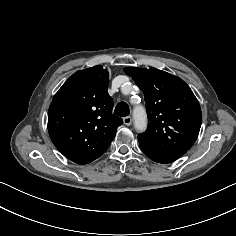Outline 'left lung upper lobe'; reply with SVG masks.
<instances>
[{"label": "left lung upper lobe", "instance_id": "5c2ea615", "mask_svg": "<svg viewBox=\"0 0 236 236\" xmlns=\"http://www.w3.org/2000/svg\"><path fill=\"white\" fill-rule=\"evenodd\" d=\"M144 93L147 131L139 134L143 146L189 150L202 122L201 108L189 86L179 77L156 68H124Z\"/></svg>", "mask_w": 236, "mask_h": 236}]
</instances>
